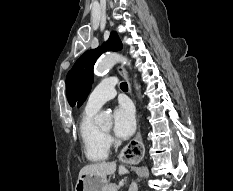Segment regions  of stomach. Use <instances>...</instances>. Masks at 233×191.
Instances as JSON below:
<instances>
[{
	"label": "stomach",
	"instance_id": "stomach-1",
	"mask_svg": "<svg viewBox=\"0 0 233 191\" xmlns=\"http://www.w3.org/2000/svg\"><path fill=\"white\" fill-rule=\"evenodd\" d=\"M109 182L106 177L83 175L78 178L75 191H107Z\"/></svg>",
	"mask_w": 233,
	"mask_h": 191
}]
</instances>
